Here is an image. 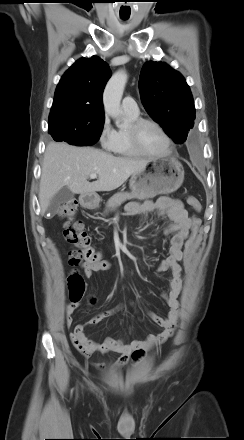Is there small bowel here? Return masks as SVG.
Segmentation results:
<instances>
[{"instance_id":"small-bowel-1","label":"small bowel","mask_w":244,"mask_h":440,"mask_svg":"<svg viewBox=\"0 0 244 440\" xmlns=\"http://www.w3.org/2000/svg\"><path fill=\"white\" fill-rule=\"evenodd\" d=\"M133 215L146 216L152 212L167 218L170 223L164 229L163 234L169 237L168 256L158 267L159 272L169 273L168 288L162 293V298L169 307L166 317H160L152 312H147L150 319L160 326L163 330L157 335H149L144 341L133 340L126 343L124 339L106 338L102 343H97L86 334L87 327H93L103 319L115 315L118 312H126L124 306L119 305L116 308L98 313L95 317L85 324H78L70 333L71 340L76 349L85 357H89L93 352L116 353L119 354L118 360L113 364L112 369H122L130 362L138 361L144 350L152 348L155 345L165 342L172 334L179 317V294L182 287V267L180 261L183 258L182 246L189 234L192 225V219L188 216L183 203L178 199L161 197L156 201H146L144 203H130L127 207ZM87 278H90L94 272L106 270L108 267L85 262L82 265ZM79 308V303L69 304L66 309V325L70 327L73 321V314ZM97 368H104L102 363L94 364Z\"/></svg>"}]
</instances>
